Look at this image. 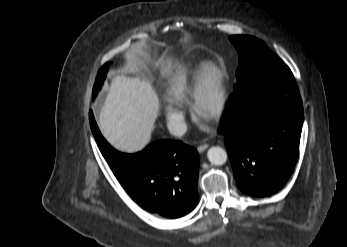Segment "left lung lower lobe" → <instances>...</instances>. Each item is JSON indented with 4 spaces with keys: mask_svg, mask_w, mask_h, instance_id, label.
<instances>
[{
    "mask_svg": "<svg viewBox=\"0 0 347 247\" xmlns=\"http://www.w3.org/2000/svg\"><path fill=\"white\" fill-rule=\"evenodd\" d=\"M302 101L284 63L255 72L227 101L219 133L238 187L256 197L279 191L299 152Z\"/></svg>",
    "mask_w": 347,
    "mask_h": 247,
    "instance_id": "0a47b994",
    "label": "left lung lower lobe"
}]
</instances>
